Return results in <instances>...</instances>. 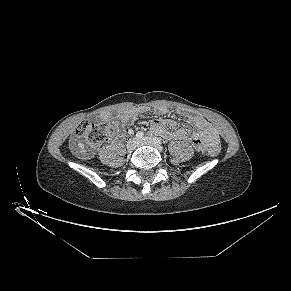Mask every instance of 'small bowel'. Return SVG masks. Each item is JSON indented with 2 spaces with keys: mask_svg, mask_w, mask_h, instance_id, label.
<instances>
[{
  "mask_svg": "<svg viewBox=\"0 0 291 291\" xmlns=\"http://www.w3.org/2000/svg\"><path fill=\"white\" fill-rule=\"evenodd\" d=\"M165 110V108L159 107L155 109V112L163 113ZM142 112V109H122L115 117L116 122L122 125H129L134 122ZM100 118L105 121L115 119L108 112L102 113ZM189 118L196 126V130L192 133H188L185 128H179L175 132H170L168 129L177 125L176 120L171 118L152 120L151 129L161 134L166 139L187 140L198 151H203L218 144L219 137L216 130L204 118L195 114H190Z\"/></svg>",
  "mask_w": 291,
  "mask_h": 291,
  "instance_id": "obj_1",
  "label": "small bowel"
}]
</instances>
